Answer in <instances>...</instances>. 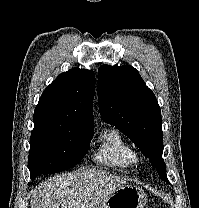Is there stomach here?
Instances as JSON below:
<instances>
[{"label":"stomach","instance_id":"0dacf381","mask_svg":"<svg viewBox=\"0 0 199 208\" xmlns=\"http://www.w3.org/2000/svg\"><path fill=\"white\" fill-rule=\"evenodd\" d=\"M146 202V195L141 188L124 185L94 208H144Z\"/></svg>","mask_w":199,"mask_h":208}]
</instances>
